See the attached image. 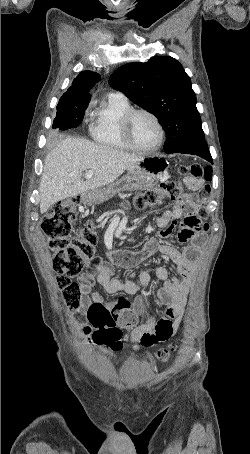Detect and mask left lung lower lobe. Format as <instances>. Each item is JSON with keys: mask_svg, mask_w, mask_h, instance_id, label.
<instances>
[{"mask_svg": "<svg viewBox=\"0 0 250 454\" xmlns=\"http://www.w3.org/2000/svg\"><path fill=\"white\" fill-rule=\"evenodd\" d=\"M172 153H184V154L197 155V156H200V157L206 159L210 163H213V160H212V157L209 152L205 139L193 142L181 149L173 151ZM172 153H169V154H172Z\"/></svg>", "mask_w": 250, "mask_h": 454, "instance_id": "0a47b994", "label": "left lung lower lobe"}]
</instances>
